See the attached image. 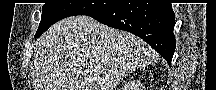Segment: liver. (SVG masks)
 <instances>
[{"mask_svg":"<svg viewBox=\"0 0 216 90\" xmlns=\"http://www.w3.org/2000/svg\"><path fill=\"white\" fill-rule=\"evenodd\" d=\"M36 48V90H114L135 68L154 60L146 42L89 16L57 22Z\"/></svg>","mask_w":216,"mask_h":90,"instance_id":"liver-1","label":"liver"}]
</instances>
